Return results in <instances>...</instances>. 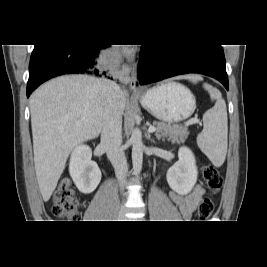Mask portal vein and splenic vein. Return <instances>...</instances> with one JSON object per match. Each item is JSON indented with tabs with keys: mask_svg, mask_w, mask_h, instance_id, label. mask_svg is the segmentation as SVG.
<instances>
[{
	"mask_svg": "<svg viewBox=\"0 0 267 267\" xmlns=\"http://www.w3.org/2000/svg\"><path fill=\"white\" fill-rule=\"evenodd\" d=\"M198 122V120L197 119H191V120H189L187 123H186V125L188 126V125H192V124H195V123H197ZM156 131V128L154 127V126H150L149 127V129H148V132L149 133H153V132H155Z\"/></svg>",
	"mask_w": 267,
	"mask_h": 267,
	"instance_id": "18ae733b",
	"label": "portal vein and splenic vein"
}]
</instances>
